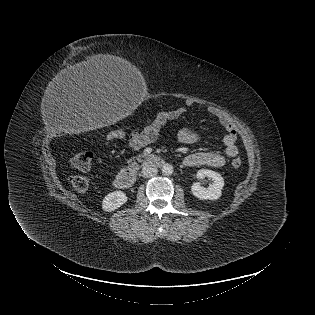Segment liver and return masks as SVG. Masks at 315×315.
Segmentation results:
<instances>
[{
    "instance_id": "1",
    "label": "liver",
    "mask_w": 315,
    "mask_h": 315,
    "mask_svg": "<svg viewBox=\"0 0 315 315\" xmlns=\"http://www.w3.org/2000/svg\"><path fill=\"white\" fill-rule=\"evenodd\" d=\"M141 78L140 72L126 59L109 54H99L65 68L58 79L66 83L130 82Z\"/></svg>"
}]
</instances>
